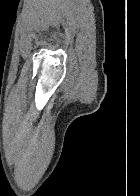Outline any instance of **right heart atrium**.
I'll list each match as a JSON object with an SVG mask.
<instances>
[{
  "instance_id": "1",
  "label": "right heart atrium",
  "mask_w": 140,
  "mask_h": 196,
  "mask_svg": "<svg viewBox=\"0 0 140 196\" xmlns=\"http://www.w3.org/2000/svg\"><path fill=\"white\" fill-rule=\"evenodd\" d=\"M16 192H33V191H16Z\"/></svg>"
}]
</instances>
